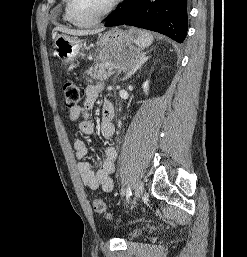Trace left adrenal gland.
Here are the masks:
<instances>
[{
    "label": "left adrenal gland",
    "mask_w": 247,
    "mask_h": 257,
    "mask_svg": "<svg viewBox=\"0 0 247 257\" xmlns=\"http://www.w3.org/2000/svg\"><path fill=\"white\" fill-rule=\"evenodd\" d=\"M148 60V57H146V52L141 54L140 59L138 60V62L132 67V69L130 71H128L125 75V77L123 78L124 80L129 79L138 69H140V67Z\"/></svg>",
    "instance_id": "a2214340"
}]
</instances>
